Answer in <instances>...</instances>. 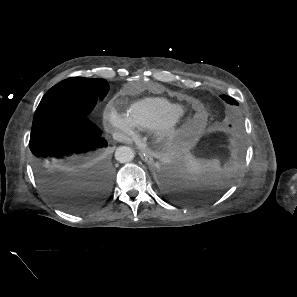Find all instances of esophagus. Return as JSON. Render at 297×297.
I'll return each instance as SVG.
<instances>
[{"instance_id": "1", "label": "esophagus", "mask_w": 297, "mask_h": 297, "mask_svg": "<svg viewBox=\"0 0 297 297\" xmlns=\"http://www.w3.org/2000/svg\"><path fill=\"white\" fill-rule=\"evenodd\" d=\"M140 157L147 164H152L154 162L153 156L149 152L140 153Z\"/></svg>"}]
</instances>
